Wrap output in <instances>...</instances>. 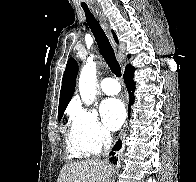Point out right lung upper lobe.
I'll return each mask as SVG.
<instances>
[{
  "instance_id": "right-lung-upper-lobe-1",
  "label": "right lung upper lobe",
  "mask_w": 196,
  "mask_h": 182,
  "mask_svg": "<svg viewBox=\"0 0 196 182\" xmlns=\"http://www.w3.org/2000/svg\"><path fill=\"white\" fill-rule=\"evenodd\" d=\"M112 33L115 41L118 42L115 33L113 31ZM128 58H130V55H128ZM77 73L78 64L73 58H70L67 62L66 69L62 79V86L59 99V115H63L68 103L72 98V94L75 90Z\"/></svg>"
}]
</instances>
